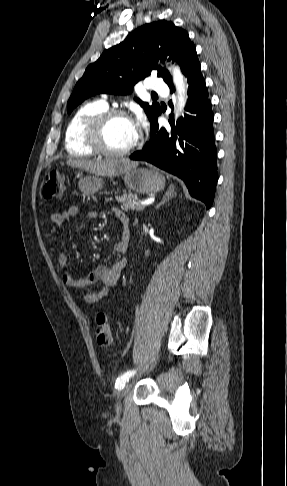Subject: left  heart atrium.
Here are the masks:
<instances>
[{
  "label": "left heart atrium",
  "mask_w": 287,
  "mask_h": 486,
  "mask_svg": "<svg viewBox=\"0 0 287 486\" xmlns=\"http://www.w3.org/2000/svg\"><path fill=\"white\" fill-rule=\"evenodd\" d=\"M134 124V127H135V133H136V137H138V133H139V126L138 124L136 123H133Z\"/></svg>",
  "instance_id": "39dd6f15"
}]
</instances>
